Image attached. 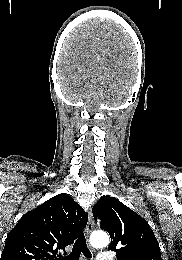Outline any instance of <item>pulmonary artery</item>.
Instances as JSON below:
<instances>
[{"label": "pulmonary artery", "instance_id": "obj_1", "mask_svg": "<svg viewBox=\"0 0 182 260\" xmlns=\"http://www.w3.org/2000/svg\"><path fill=\"white\" fill-rule=\"evenodd\" d=\"M96 260H112L111 255L108 252H99L96 256Z\"/></svg>", "mask_w": 182, "mask_h": 260}]
</instances>
